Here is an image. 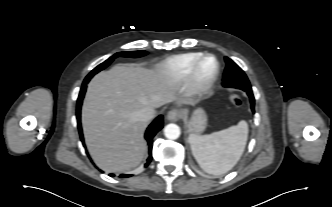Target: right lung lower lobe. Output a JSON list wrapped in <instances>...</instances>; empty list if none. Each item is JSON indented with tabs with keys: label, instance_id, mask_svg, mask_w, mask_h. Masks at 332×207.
<instances>
[{
	"label": "right lung lower lobe",
	"instance_id": "98d812e1",
	"mask_svg": "<svg viewBox=\"0 0 332 207\" xmlns=\"http://www.w3.org/2000/svg\"><path fill=\"white\" fill-rule=\"evenodd\" d=\"M88 82H83L82 84V88L77 100V110H76V116H77V122H78V130H79V134H80V138L81 141L83 142V134H82V128H81V122H80V110H81V105H82V100L86 91V85ZM163 127V116L160 115L158 116L152 123L151 125L148 127L146 134H145V138L148 142L149 145V157L147 158V162L145 164V167H147L149 165V163L152 160V141H153V137L155 136V134ZM84 144V142H83ZM110 176H114L113 174H110ZM122 177H129L131 175H121Z\"/></svg>",
	"mask_w": 332,
	"mask_h": 207
}]
</instances>
